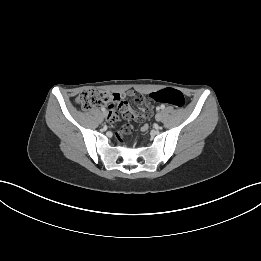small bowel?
I'll return each mask as SVG.
<instances>
[{
	"label": "small bowel",
	"mask_w": 261,
	"mask_h": 261,
	"mask_svg": "<svg viewBox=\"0 0 261 261\" xmlns=\"http://www.w3.org/2000/svg\"><path fill=\"white\" fill-rule=\"evenodd\" d=\"M127 95L129 96V99L132 102H135L139 105L145 104L146 108L141 111H132L129 104L127 103L125 114L136 120L145 119L149 115L152 104L155 102V99L152 96L143 97L140 93H136L133 89H130L127 92ZM121 97L124 99V95H121ZM144 129H146V126H144Z\"/></svg>",
	"instance_id": "1"
}]
</instances>
